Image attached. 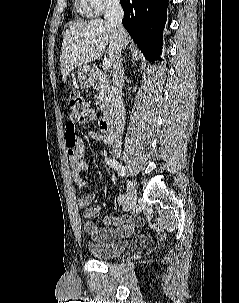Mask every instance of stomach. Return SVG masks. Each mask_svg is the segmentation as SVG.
Wrapping results in <instances>:
<instances>
[{
  "mask_svg": "<svg viewBox=\"0 0 239 303\" xmlns=\"http://www.w3.org/2000/svg\"><path fill=\"white\" fill-rule=\"evenodd\" d=\"M77 78L79 83L88 87L93 84V71L89 65L79 66L77 69Z\"/></svg>",
  "mask_w": 239,
  "mask_h": 303,
  "instance_id": "stomach-1",
  "label": "stomach"
}]
</instances>
